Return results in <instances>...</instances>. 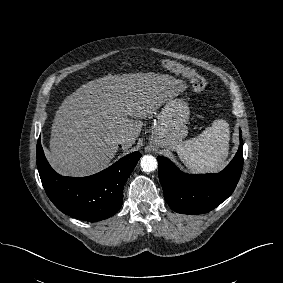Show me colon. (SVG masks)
I'll use <instances>...</instances> for the list:
<instances>
[{
  "instance_id": "obj_1",
  "label": "colon",
  "mask_w": 283,
  "mask_h": 283,
  "mask_svg": "<svg viewBox=\"0 0 283 283\" xmlns=\"http://www.w3.org/2000/svg\"><path fill=\"white\" fill-rule=\"evenodd\" d=\"M161 65L164 68L172 72H175L177 74H180L183 77H185L187 80H189L195 92L203 93L206 91L207 89L206 79L200 74H198L194 69L186 67L181 63L170 59H162Z\"/></svg>"
}]
</instances>
